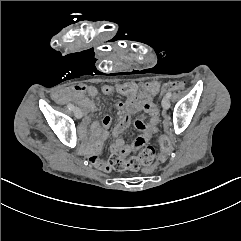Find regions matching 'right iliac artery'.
Instances as JSON below:
<instances>
[{
    "label": "right iliac artery",
    "mask_w": 241,
    "mask_h": 241,
    "mask_svg": "<svg viewBox=\"0 0 241 241\" xmlns=\"http://www.w3.org/2000/svg\"><path fill=\"white\" fill-rule=\"evenodd\" d=\"M67 107H68V109H70V110H74V108H75L74 105H72V104H68Z\"/></svg>",
    "instance_id": "1"
}]
</instances>
